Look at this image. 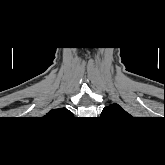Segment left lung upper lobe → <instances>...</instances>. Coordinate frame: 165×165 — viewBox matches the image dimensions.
Segmentation results:
<instances>
[{
  "label": "left lung upper lobe",
  "instance_id": "obj_1",
  "mask_svg": "<svg viewBox=\"0 0 165 165\" xmlns=\"http://www.w3.org/2000/svg\"><path fill=\"white\" fill-rule=\"evenodd\" d=\"M129 115L127 112H125L118 104H111L108 107H105L102 111V116H109V117H121Z\"/></svg>",
  "mask_w": 165,
  "mask_h": 165
}]
</instances>
